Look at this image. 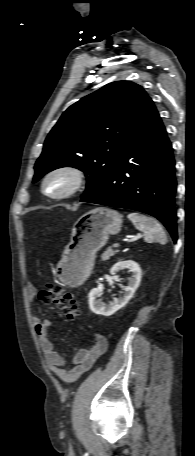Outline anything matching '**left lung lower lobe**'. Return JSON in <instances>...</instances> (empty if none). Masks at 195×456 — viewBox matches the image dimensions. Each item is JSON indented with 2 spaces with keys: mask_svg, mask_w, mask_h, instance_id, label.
<instances>
[{
  "mask_svg": "<svg viewBox=\"0 0 195 456\" xmlns=\"http://www.w3.org/2000/svg\"><path fill=\"white\" fill-rule=\"evenodd\" d=\"M176 185L172 145L153 104L131 132L106 180L81 202L152 215L176 242Z\"/></svg>",
  "mask_w": 195,
  "mask_h": 456,
  "instance_id": "left-lung-lower-lobe-1",
  "label": "left lung lower lobe"
}]
</instances>
